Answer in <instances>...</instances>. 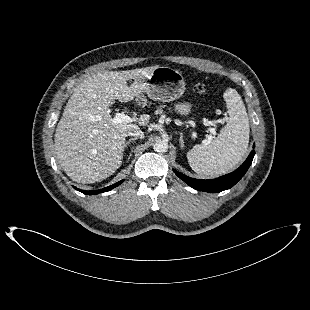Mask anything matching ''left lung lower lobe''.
Returning a JSON list of instances; mask_svg holds the SVG:
<instances>
[{
	"label": "left lung lower lobe",
	"mask_w": 310,
	"mask_h": 310,
	"mask_svg": "<svg viewBox=\"0 0 310 310\" xmlns=\"http://www.w3.org/2000/svg\"><path fill=\"white\" fill-rule=\"evenodd\" d=\"M254 154L255 152L251 151L246 161L234 172L212 180L194 179L176 170L173 171L180 179L194 189L211 193L221 192L234 186L244 176L252 163Z\"/></svg>",
	"instance_id": "left-lung-lower-lobe-1"
}]
</instances>
